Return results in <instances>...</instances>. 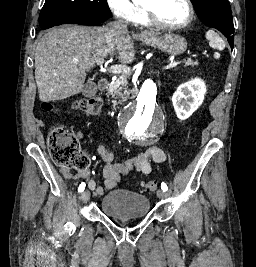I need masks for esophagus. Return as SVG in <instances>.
I'll list each match as a JSON object with an SVG mask.
<instances>
[{"instance_id":"34e87169","label":"esophagus","mask_w":256,"mask_h":267,"mask_svg":"<svg viewBox=\"0 0 256 267\" xmlns=\"http://www.w3.org/2000/svg\"><path fill=\"white\" fill-rule=\"evenodd\" d=\"M141 36H146V34H140Z\"/></svg>"}]
</instances>
